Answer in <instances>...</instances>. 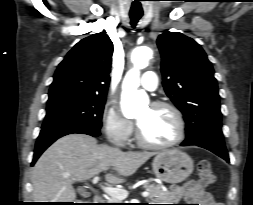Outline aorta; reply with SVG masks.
Masks as SVG:
<instances>
[{
    "mask_svg": "<svg viewBox=\"0 0 253 205\" xmlns=\"http://www.w3.org/2000/svg\"><path fill=\"white\" fill-rule=\"evenodd\" d=\"M150 47L141 46L133 50L131 61L134 67L126 74L122 84L121 109L125 117L130 118L147 107L149 98L144 90H138L140 70L147 67L152 58Z\"/></svg>",
    "mask_w": 253,
    "mask_h": 205,
    "instance_id": "obj_1",
    "label": "aorta"
}]
</instances>
